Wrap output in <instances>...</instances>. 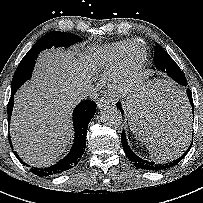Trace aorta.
I'll use <instances>...</instances> for the list:
<instances>
[{
  "label": "aorta",
  "instance_id": "762f6f07",
  "mask_svg": "<svg viewBox=\"0 0 203 203\" xmlns=\"http://www.w3.org/2000/svg\"><path fill=\"white\" fill-rule=\"evenodd\" d=\"M101 120L109 126H119L122 123L121 112L114 106L107 105L100 111Z\"/></svg>",
  "mask_w": 203,
  "mask_h": 203
}]
</instances>
